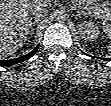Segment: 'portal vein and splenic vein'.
Returning <instances> with one entry per match:
<instances>
[{"label":"portal vein and splenic vein","mask_w":111,"mask_h":106,"mask_svg":"<svg viewBox=\"0 0 111 106\" xmlns=\"http://www.w3.org/2000/svg\"><path fill=\"white\" fill-rule=\"evenodd\" d=\"M77 5L81 7V1H78V2H77Z\"/></svg>","instance_id":"1"}]
</instances>
